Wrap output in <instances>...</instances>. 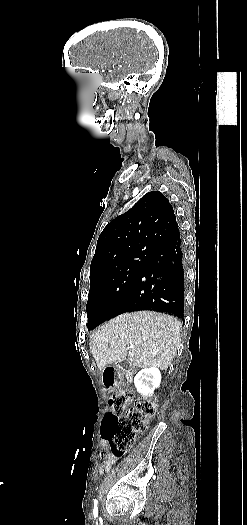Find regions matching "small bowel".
Listing matches in <instances>:
<instances>
[{"label": "small bowel", "mask_w": 247, "mask_h": 525, "mask_svg": "<svg viewBox=\"0 0 247 525\" xmlns=\"http://www.w3.org/2000/svg\"><path fill=\"white\" fill-rule=\"evenodd\" d=\"M102 455L105 457V461L99 466V473L107 472L116 463V457L111 455L107 450L106 441H101Z\"/></svg>", "instance_id": "small-bowel-1"}]
</instances>
